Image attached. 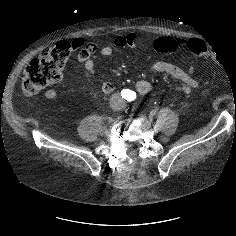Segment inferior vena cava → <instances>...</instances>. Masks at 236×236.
Returning <instances> with one entry per match:
<instances>
[{"mask_svg":"<svg viewBox=\"0 0 236 236\" xmlns=\"http://www.w3.org/2000/svg\"><path fill=\"white\" fill-rule=\"evenodd\" d=\"M124 100L118 93L112 94L110 98V106L113 110H120L123 108Z\"/></svg>","mask_w":236,"mask_h":236,"instance_id":"obj_1","label":"inferior vena cava"}]
</instances>
